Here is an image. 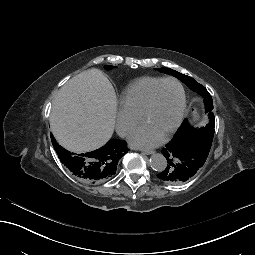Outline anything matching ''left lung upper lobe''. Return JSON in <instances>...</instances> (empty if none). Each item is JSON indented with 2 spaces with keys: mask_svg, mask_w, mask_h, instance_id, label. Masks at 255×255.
<instances>
[{
  "mask_svg": "<svg viewBox=\"0 0 255 255\" xmlns=\"http://www.w3.org/2000/svg\"><path fill=\"white\" fill-rule=\"evenodd\" d=\"M158 70L160 72H164L166 74L175 76L176 78L181 80L184 84H186L191 90L200 94L204 98L205 111H206V113L209 114V118H210L209 123L205 127H202V128H194V127L190 126V124L187 122V120H185L171 141H173L176 138L177 133L180 132V134L183 137L187 138L188 140L197 141L198 143H200L201 150L204 152L208 151V154H209V151H210V148L212 145V141H213L214 127H215V117H214V114L212 113L213 101H212L211 95L209 94V92L206 90V88L204 86L197 83L192 77L181 74V73H179L175 70H172L170 68H158ZM190 128H192L193 130ZM207 157H208V155H207ZM168 166H169V162H168L167 167ZM183 182H185V181H183Z\"/></svg>",
  "mask_w": 255,
  "mask_h": 255,
  "instance_id": "1",
  "label": "left lung upper lobe"
}]
</instances>
